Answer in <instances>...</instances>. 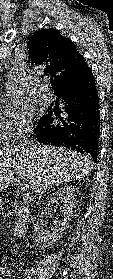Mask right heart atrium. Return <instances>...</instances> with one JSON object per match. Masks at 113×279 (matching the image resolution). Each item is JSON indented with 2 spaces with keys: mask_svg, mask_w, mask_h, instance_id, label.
<instances>
[{
  "mask_svg": "<svg viewBox=\"0 0 113 279\" xmlns=\"http://www.w3.org/2000/svg\"><path fill=\"white\" fill-rule=\"evenodd\" d=\"M34 123L33 110L23 104L3 100L1 124L6 136L19 140L31 133Z\"/></svg>",
  "mask_w": 113,
  "mask_h": 279,
  "instance_id": "1",
  "label": "right heart atrium"
}]
</instances>
